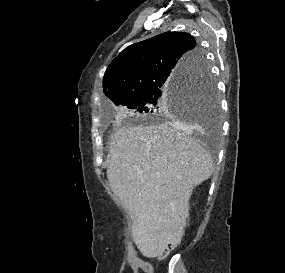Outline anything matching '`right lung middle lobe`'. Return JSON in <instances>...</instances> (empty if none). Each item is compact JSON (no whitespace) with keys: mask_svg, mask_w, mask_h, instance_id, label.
<instances>
[{"mask_svg":"<svg viewBox=\"0 0 285 273\" xmlns=\"http://www.w3.org/2000/svg\"><path fill=\"white\" fill-rule=\"evenodd\" d=\"M121 105L156 118L196 119L219 127V100L215 80L205 62L197 73L144 91Z\"/></svg>","mask_w":285,"mask_h":273,"instance_id":"dd1d6c3e","label":"right lung middle lobe"}]
</instances>
